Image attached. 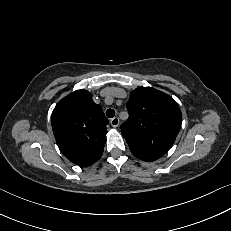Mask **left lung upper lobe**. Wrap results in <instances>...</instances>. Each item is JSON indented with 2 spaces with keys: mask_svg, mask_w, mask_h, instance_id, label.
<instances>
[{
  "mask_svg": "<svg viewBox=\"0 0 231 231\" xmlns=\"http://www.w3.org/2000/svg\"><path fill=\"white\" fill-rule=\"evenodd\" d=\"M129 118L121 132L134 156L154 161L163 156L180 130L182 114L172 97L151 87H139L127 102Z\"/></svg>",
  "mask_w": 231,
  "mask_h": 231,
  "instance_id": "obj_1",
  "label": "left lung upper lobe"
}]
</instances>
